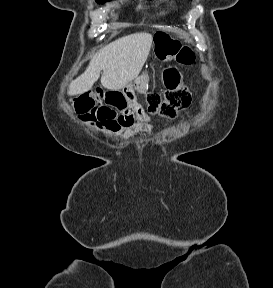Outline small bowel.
Segmentation results:
<instances>
[{
  "instance_id": "c3829d8e",
  "label": "small bowel",
  "mask_w": 273,
  "mask_h": 288,
  "mask_svg": "<svg viewBox=\"0 0 273 288\" xmlns=\"http://www.w3.org/2000/svg\"><path fill=\"white\" fill-rule=\"evenodd\" d=\"M136 116L137 120L132 126L119 130L108 129V131L113 134L122 133L124 138H129L135 133L152 131L150 117L141 108L137 109Z\"/></svg>"
}]
</instances>
